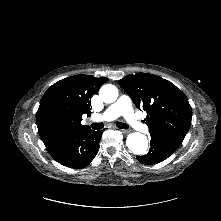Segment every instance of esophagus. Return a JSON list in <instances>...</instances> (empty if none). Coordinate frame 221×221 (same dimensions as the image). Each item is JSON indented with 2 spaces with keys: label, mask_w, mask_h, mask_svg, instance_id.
Here are the masks:
<instances>
[{
  "label": "esophagus",
  "mask_w": 221,
  "mask_h": 221,
  "mask_svg": "<svg viewBox=\"0 0 221 221\" xmlns=\"http://www.w3.org/2000/svg\"><path fill=\"white\" fill-rule=\"evenodd\" d=\"M121 132H122L123 134H128L130 131H129V130H125V129H121Z\"/></svg>",
  "instance_id": "1"
}]
</instances>
